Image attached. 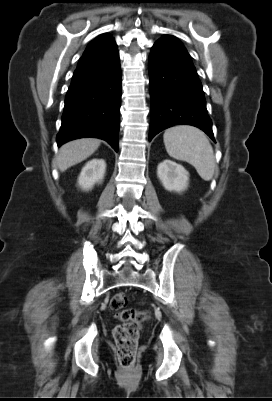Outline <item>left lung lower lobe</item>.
<instances>
[{"label":"left lung lower lobe","mask_w":272,"mask_h":401,"mask_svg":"<svg viewBox=\"0 0 272 401\" xmlns=\"http://www.w3.org/2000/svg\"><path fill=\"white\" fill-rule=\"evenodd\" d=\"M151 124L149 141L178 124L203 130L214 142L202 84L190 55L172 35L160 38L149 56Z\"/></svg>","instance_id":"1"}]
</instances>
